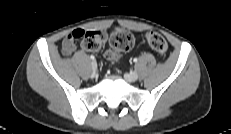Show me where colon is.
<instances>
[{
  "instance_id": "5ec220e1",
  "label": "colon",
  "mask_w": 231,
  "mask_h": 134,
  "mask_svg": "<svg viewBox=\"0 0 231 134\" xmlns=\"http://www.w3.org/2000/svg\"><path fill=\"white\" fill-rule=\"evenodd\" d=\"M75 40L82 39L83 46L90 51L100 50L107 40L110 43V50L107 52V58L115 61L119 58L122 52L130 50L134 45L132 34L124 28L116 27L111 32L109 37L101 30H83L76 29L72 32ZM146 40L149 46L158 54L164 56L167 52V42L165 38L157 32H148Z\"/></svg>"
}]
</instances>
